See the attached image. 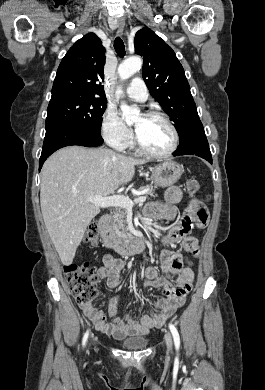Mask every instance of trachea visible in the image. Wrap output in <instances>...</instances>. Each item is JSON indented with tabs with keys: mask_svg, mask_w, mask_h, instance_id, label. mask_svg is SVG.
<instances>
[{
	"mask_svg": "<svg viewBox=\"0 0 265 390\" xmlns=\"http://www.w3.org/2000/svg\"><path fill=\"white\" fill-rule=\"evenodd\" d=\"M114 48H115V51L116 53L120 56V57H124L125 55V45L122 41V39L120 37H117L114 41Z\"/></svg>",
	"mask_w": 265,
	"mask_h": 390,
	"instance_id": "1",
	"label": "trachea"
}]
</instances>
